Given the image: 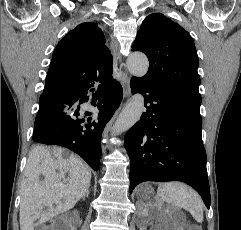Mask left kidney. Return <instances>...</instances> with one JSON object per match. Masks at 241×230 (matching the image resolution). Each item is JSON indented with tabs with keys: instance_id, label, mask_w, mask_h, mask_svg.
<instances>
[{
	"instance_id": "left-kidney-1",
	"label": "left kidney",
	"mask_w": 241,
	"mask_h": 230,
	"mask_svg": "<svg viewBox=\"0 0 241 230\" xmlns=\"http://www.w3.org/2000/svg\"><path fill=\"white\" fill-rule=\"evenodd\" d=\"M153 220V218L151 216H148L147 218V223L151 222ZM167 229H171V226H161V225H158V226H152V229L151 230H167Z\"/></svg>"
}]
</instances>
